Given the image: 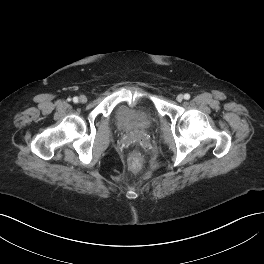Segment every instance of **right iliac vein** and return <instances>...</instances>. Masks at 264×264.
<instances>
[{
	"label": "right iliac vein",
	"mask_w": 264,
	"mask_h": 264,
	"mask_svg": "<svg viewBox=\"0 0 264 264\" xmlns=\"http://www.w3.org/2000/svg\"><path fill=\"white\" fill-rule=\"evenodd\" d=\"M79 102H80V103H86V102H87V97H86L85 95H81V96L79 97Z\"/></svg>",
	"instance_id": "obj_1"
}]
</instances>
